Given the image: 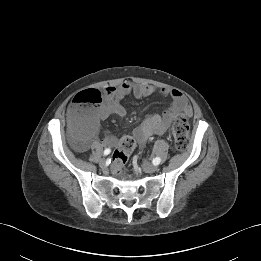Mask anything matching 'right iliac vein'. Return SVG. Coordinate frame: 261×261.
<instances>
[{
	"instance_id": "obj_1",
	"label": "right iliac vein",
	"mask_w": 261,
	"mask_h": 261,
	"mask_svg": "<svg viewBox=\"0 0 261 261\" xmlns=\"http://www.w3.org/2000/svg\"><path fill=\"white\" fill-rule=\"evenodd\" d=\"M99 165L102 167V168H105L106 167V160L104 158L100 159L99 160Z\"/></svg>"
}]
</instances>
